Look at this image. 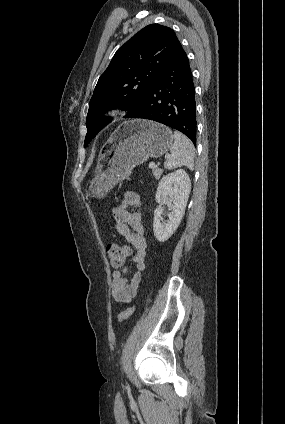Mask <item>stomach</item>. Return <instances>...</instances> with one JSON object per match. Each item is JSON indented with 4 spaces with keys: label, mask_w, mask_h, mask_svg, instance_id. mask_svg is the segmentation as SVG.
<instances>
[{
    "label": "stomach",
    "mask_w": 285,
    "mask_h": 424,
    "mask_svg": "<svg viewBox=\"0 0 285 424\" xmlns=\"http://www.w3.org/2000/svg\"><path fill=\"white\" fill-rule=\"evenodd\" d=\"M171 130L148 120L123 122L102 147L90 181V197L103 198L118 182L128 177L132 169L165 154L172 146Z\"/></svg>",
    "instance_id": "stomach-1"
}]
</instances>
